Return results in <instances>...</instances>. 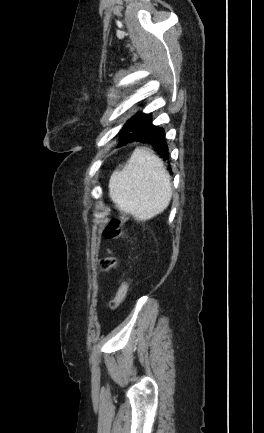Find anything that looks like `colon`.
Returning a JSON list of instances; mask_svg holds the SVG:
<instances>
[{
    "label": "colon",
    "instance_id": "colon-1",
    "mask_svg": "<svg viewBox=\"0 0 264 433\" xmlns=\"http://www.w3.org/2000/svg\"><path fill=\"white\" fill-rule=\"evenodd\" d=\"M126 221H127V217L125 215H120L111 218L103 229L104 236L108 239H118V238L128 239V236L122 229V226ZM118 266H119V262L117 258L114 256L103 257L99 260V267L102 271L115 269ZM128 289H129V282L127 279H124L115 297L110 301L109 305L112 310H115L120 306V304L126 297Z\"/></svg>",
    "mask_w": 264,
    "mask_h": 433
}]
</instances>
